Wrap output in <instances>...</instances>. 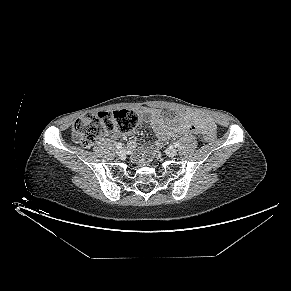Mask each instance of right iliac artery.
I'll list each match as a JSON object with an SVG mask.
<instances>
[{
    "label": "right iliac artery",
    "mask_w": 291,
    "mask_h": 291,
    "mask_svg": "<svg viewBox=\"0 0 291 291\" xmlns=\"http://www.w3.org/2000/svg\"><path fill=\"white\" fill-rule=\"evenodd\" d=\"M122 145H123L122 143H117V144H116V147L119 149V148L122 147Z\"/></svg>",
    "instance_id": "obj_1"
}]
</instances>
